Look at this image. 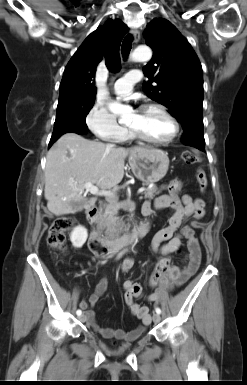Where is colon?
Segmentation results:
<instances>
[{"instance_id": "colon-1", "label": "colon", "mask_w": 247, "mask_h": 385, "mask_svg": "<svg viewBox=\"0 0 247 385\" xmlns=\"http://www.w3.org/2000/svg\"><path fill=\"white\" fill-rule=\"evenodd\" d=\"M181 159L186 164H194L199 161V156L191 151H184L181 155ZM196 178L199 185V188L202 192L205 191L207 187V177L203 170L199 169L196 172ZM75 220L71 217H60L56 219L52 226L49 229L47 242L50 247L58 251L65 250L66 243V233L73 227ZM170 263L168 260H163L158 263L156 267L157 274H165L168 272ZM128 288L133 293H138V288L136 285L131 284Z\"/></svg>"}]
</instances>
